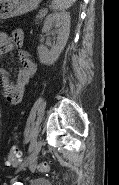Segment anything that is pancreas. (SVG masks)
Instances as JSON below:
<instances>
[{
  "instance_id": "obj_1",
  "label": "pancreas",
  "mask_w": 119,
  "mask_h": 185,
  "mask_svg": "<svg viewBox=\"0 0 119 185\" xmlns=\"http://www.w3.org/2000/svg\"><path fill=\"white\" fill-rule=\"evenodd\" d=\"M45 16V13L40 12L38 15H36V19H42Z\"/></svg>"
}]
</instances>
